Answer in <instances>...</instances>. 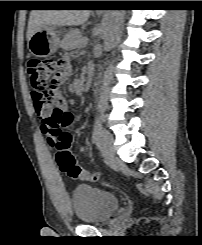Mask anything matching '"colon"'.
Masks as SVG:
<instances>
[{"label":"colon","mask_w":202,"mask_h":245,"mask_svg":"<svg viewBox=\"0 0 202 245\" xmlns=\"http://www.w3.org/2000/svg\"><path fill=\"white\" fill-rule=\"evenodd\" d=\"M27 72L30 85L35 91V109L39 112L42 107L47 115L45 128L53 138L54 156L59 169L72 179L97 181L99 176L78 164L72 153L73 136L66 131V128L73 122V115L51 109L68 76L67 67L60 60L35 58L29 61Z\"/></svg>","instance_id":"colon-1"}]
</instances>
